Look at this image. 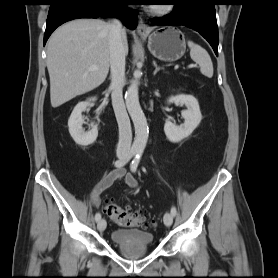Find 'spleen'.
Masks as SVG:
<instances>
[{
	"instance_id": "spleen-1",
	"label": "spleen",
	"mask_w": 278,
	"mask_h": 278,
	"mask_svg": "<svg viewBox=\"0 0 278 278\" xmlns=\"http://www.w3.org/2000/svg\"><path fill=\"white\" fill-rule=\"evenodd\" d=\"M188 46L190 48V57L199 64L201 73L211 78L213 76V64L208 52L192 41H188Z\"/></svg>"
}]
</instances>
